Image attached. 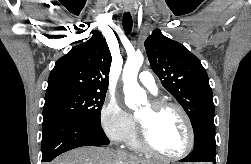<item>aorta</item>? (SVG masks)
<instances>
[{"mask_svg": "<svg viewBox=\"0 0 251 164\" xmlns=\"http://www.w3.org/2000/svg\"><path fill=\"white\" fill-rule=\"evenodd\" d=\"M143 61L144 57L141 53H134L128 56L123 69L122 79L125 104L131 109H136L147 101L145 91L137 82L138 72Z\"/></svg>", "mask_w": 251, "mask_h": 164, "instance_id": "obj_1", "label": "aorta"}]
</instances>
